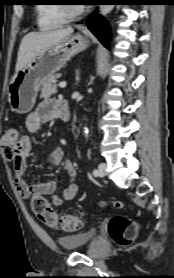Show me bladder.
<instances>
[{
    "mask_svg": "<svg viewBox=\"0 0 174 278\" xmlns=\"http://www.w3.org/2000/svg\"><path fill=\"white\" fill-rule=\"evenodd\" d=\"M96 239L97 232L95 230H89L60 237L58 243L65 250H76L93 243Z\"/></svg>",
    "mask_w": 174,
    "mask_h": 278,
    "instance_id": "bladder-1",
    "label": "bladder"
}]
</instances>
